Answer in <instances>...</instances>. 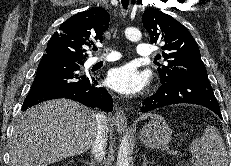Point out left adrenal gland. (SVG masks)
Here are the masks:
<instances>
[{
	"label": "left adrenal gland",
	"instance_id": "left-adrenal-gland-1",
	"mask_svg": "<svg viewBox=\"0 0 231 166\" xmlns=\"http://www.w3.org/2000/svg\"><path fill=\"white\" fill-rule=\"evenodd\" d=\"M142 159H143V164H142V166H147L148 165V163H152V162H149L148 160H147V158H146V156L145 155H142Z\"/></svg>",
	"mask_w": 231,
	"mask_h": 166
}]
</instances>
